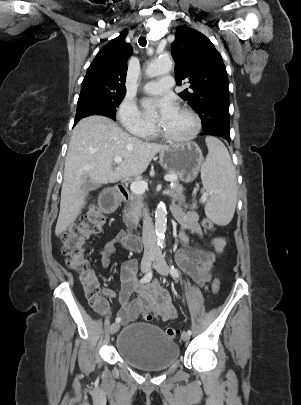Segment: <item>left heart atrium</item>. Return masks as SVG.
I'll return each mask as SVG.
<instances>
[{
  "instance_id": "39dd6f15",
  "label": "left heart atrium",
  "mask_w": 301,
  "mask_h": 405,
  "mask_svg": "<svg viewBox=\"0 0 301 405\" xmlns=\"http://www.w3.org/2000/svg\"><path fill=\"white\" fill-rule=\"evenodd\" d=\"M144 105L146 107H157L161 117H166L177 110L174 100L169 96L160 99H147L144 101Z\"/></svg>"
}]
</instances>
